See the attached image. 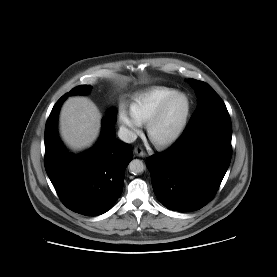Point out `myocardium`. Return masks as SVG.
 <instances>
[{
  "label": "myocardium",
  "mask_w": 277,
  "mask_h": 277,
  "mask_svg": "<svg viewBox=\"0 0 277 277\" xmlns=\"http://www.w3.org/2000/svg\"><path fill=\"white\" fill-rule=\"evenodd\" d=\"M178 96H183L187 102L186 112L184 114L182 121L180 122L177 129L168 137L162 138V139H158V138L154 137L153 131H154L156 124L161 119V117L164 114L168 105ZM191 109H192V103H191V99L187 93H185L183 91H176L173 94H171L170 96H168L157 107L155 112L151 115V117L146 122V132H147V136L150 139V141L156 147H159V148L168 147V146L172 145L173 143H175L183 135L184 131L186 130V127L188 125L190 115H191Z\"/></svg>",
  "instance_id": "1"
}]
</instances>
